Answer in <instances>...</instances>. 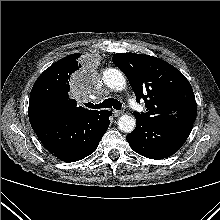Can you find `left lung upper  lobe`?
Returning <instances> with one entry per match:
<instances>
[{
	"mask_svg": "<svg viewBox=\"0 0 220 220\" xmlns=\"http://www.w3.org/2000/svg\"><path fill=\"white\" fill-rule=\"evenodd\" d=\"M112 60L127 76L137 101H145L147 112H134L135 117L150 122H195L197 105L193 89L174 66L159 58L136 53H117Z\"/></svg>",
	"mask_w": 220,
	"mask_h": 220,
	"instance_id": "1",
	"label": "left lung upper lobe"
}]
</instances>
